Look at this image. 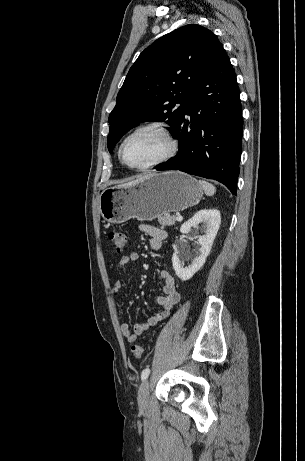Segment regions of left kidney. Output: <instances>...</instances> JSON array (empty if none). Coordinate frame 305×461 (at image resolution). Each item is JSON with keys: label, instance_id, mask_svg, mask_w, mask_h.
<instances>
[{"label": "left kidney", "instance_id": "obj_1", "mask_svg": "<svg viewBox=\"0 0 305 461\" xmlns=\"http://www.w3.org/2000/svg\"><path fill=\"white\" fill-rule=\"evenodd\" d=\"M200 224H202L200 226ZM221 224L220 211L217 209H204L194 214L187 222H185L180 232L182 234H188L191 232V228L195 229L197 244L199 245L198 254L193 258L192 263L189 266L184 267L183 256L189 253L187 245L180 243L178 248L175 250L172 256V264L176 275L182 281L189 280L193 275L200 270L204 265L207 256L211 251L213 241L217 235ZM204 229V235H199L197 231Z\"/></svg>", "mask_w": 305, "mask_h": 461}]
</instances>
